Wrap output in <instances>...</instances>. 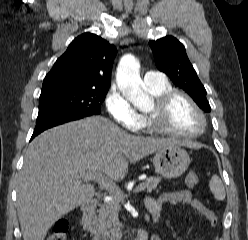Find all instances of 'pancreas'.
Returning a JSON list of instances; mask_svg holds the SVG:
<instances>
[{"instance_id": "pancreas-1", "label": "pancreas", "mask_w": 248, "mask_h": 240, "mask_svg": "<svg viewBox=\"0 0 248 240\" xmlns=\"http://www.w3.org/2000/svg\"><path fill=\"white\" fill-rule=\"evenodd\" d=\"M158 177H149L142 184L147 192L154 190L159 182ZM114 200L100 205L97 213L91 214L89 217L90 230L93 240H115L121 235V224L118 219L119 202L123 201L124 195H114Z\"/></svg>"}]
</instances>
